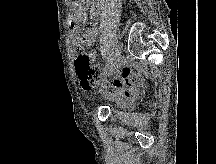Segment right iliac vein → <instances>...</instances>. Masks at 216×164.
Here are the masks:
<instances>
[{"label":"right iliac vein","mask_w":216,"mask_h":164,"mask_svg":"<svg viewBox=\"0 0 216 164\" xmlns=\"http://www.w3.org/2000/svg\"><path fill=\"white\" fill-rule=\"evenodd\" d=\"M120 58H121V53H120V49L116 48V52L114 54V62H112V68L110 70L107 71V76L112 75L113 71L117 70L119 67V62H120Z\"/></svg>","instance_id":"1"}]
</instances>
